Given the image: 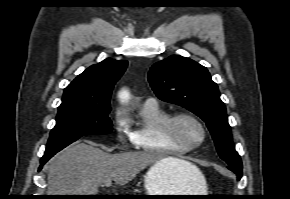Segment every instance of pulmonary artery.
<instances>
[{
    "label": "pulmonary artery",
    "instance_id": "pulmonary-artery-1",
    "mask_svg": "<svg viewBox=\"0 0 290 199\" xmlns=\"http://www.w3.org/2000/svg\"><path fill=\"white\" fill-rule=\"evenodd\" d=\"M144 103L156 104L157 101L154 98H147Z\"/></svg>",
    "mask_w": 290,
    "mask_h": 199
}]
</instances>
